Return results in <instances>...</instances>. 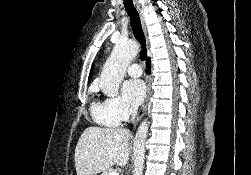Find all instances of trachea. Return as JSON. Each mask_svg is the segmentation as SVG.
Wrapping results in <instances>:
<instances>
[{"label": "trachea", "mask_w": 251, "mask_h": 175, "mask_svg": "<svg viewBox=\"0 0 251 175\" xmlns=\"http://www.w3.org/2000/svg\"><path fill=\"white\" fill-rule=\"evenodd\" d=\"M125 9L130 17L131 27L134 33L135 38L141 44L140 58L141 60H146L147 51H146V40L143 33V29L141 27V21L139 14L136 8L133 5L132 0H124Z\"/></svg>", "instance_id": "obj_1"}]
</instances>
